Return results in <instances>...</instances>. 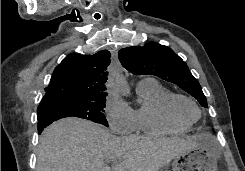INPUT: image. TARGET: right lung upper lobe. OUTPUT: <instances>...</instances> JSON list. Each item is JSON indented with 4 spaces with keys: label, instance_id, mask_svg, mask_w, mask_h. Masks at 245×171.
Wrapping results in <instances>:
<instances>
[{
    "label": "right lung upper lobe",
    "instance_id": "obj_1",
    "mask_svg": "<svg viewBox=\"0 0 245 171\" xmlns=\"http://www.w3.org/2000/svg\"><path fill=\"white\" fill-rule=\"evenodd\" d=\"M110 52L102 50L93 55L71 53L54 69L50 84L41 103L66 98H92L106 90V71Z\"/></svg>",
    "mask_w": 245,
    "mask_h": 171
}]
</instances>
